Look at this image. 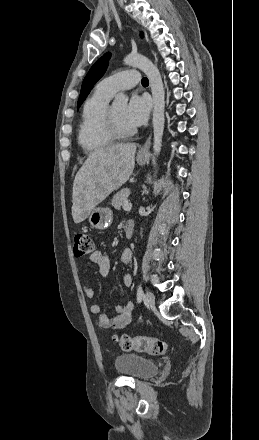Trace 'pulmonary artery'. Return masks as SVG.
Returning <instances> with one entry per match:
<instances>
[{"label": "pulmonary artery", "instance_id": "pulmonary-artery-1", "mask_svg": "<svg viewBox=\"0 0 259 440\" xmlns=\"http://www.w3.org/2000/svg\"><path fill=\"white\" fill-rule=\"evenodd\" d=\"M140 80L139 71L136 69H127L103 79L99 82L97 88L113 95L119 90H126L134 87L140 82Z\"/></svg>", "mask_w": 259, "mask_h": 440}]
</instances>
